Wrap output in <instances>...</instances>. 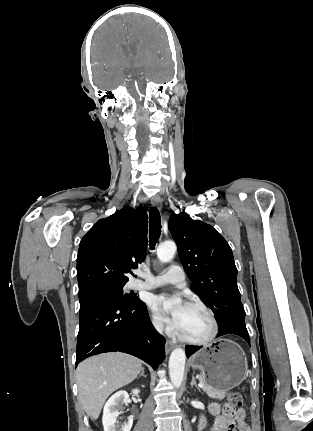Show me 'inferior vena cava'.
I'll list each match as a JSON object with an SVG mask.
<instances>
[{"label": "inferior vena cava", "instance_id": "obj_1", "mask_svg": "<svg viewBox=\"0 0 313 431\" xmlns=\"http://www.w3.org/2000/svg\"><path fill=\"white\" fill-rule=\"evenodd\" d=\"M155 328L159 331L162 332L163 330V324L161 322H156L155 324Z\"/></svg>", "mask_w": 313, "mask_h": 431}]
</instances>
